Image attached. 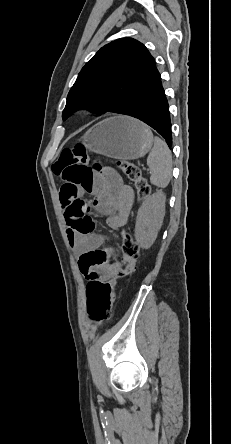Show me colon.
<instances>
[{
    "instance_id": "obj_1",
    "label": "colon",
    "mask_w": 231,
    "mask_h": 444,
    "mask_svg": "<svg viewBox=\"0 0 231 444\" xmlns=\"http://www.w3.org/2000/svg\"><path fill=\"white\" fill-rule=\"evenodd\" d=\"M117 164L126 178L135 184L138 198H146L150 193V187L142 176L140 168L127 160L118 161ZM98 167V165L88 164L85 148L78 144L61 152L53 165V173L65 181L64 185L67 187L88 188L92 185ZM70 213L75 217L74 228L79 234L92 233L94 222L88 215V207L84 201H75L70 207ZM121 252L124 267L110 278L91 281L87 287L89 317L98 324L108 321L112 316L113 299L118 281L132 275L136 269L139 246L130 231L123 232Z\"/></svg>"
}]
</instances>
